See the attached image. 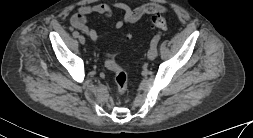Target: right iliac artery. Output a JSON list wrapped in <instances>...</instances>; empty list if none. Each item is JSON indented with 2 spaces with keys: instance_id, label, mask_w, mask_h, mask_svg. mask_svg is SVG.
I'll use <instances>...</instances> for the list:
<instances>
[{
  "instance_id": "obj_1",
  "label": "right iliac artery",
  "mask_w": 253,
  "mask_h": 138,
  "mask_svg": "<svg viewBox=\"0 0 253 138\" xmlns=\"http://www.w3.org/2000/svg\"><path fill=\"white\" fill-rule=\"evenodd\" d=\"M73 36H74V37H79V32H78V31H74V32H73Z\"/></svg>"
}]
</instances>
